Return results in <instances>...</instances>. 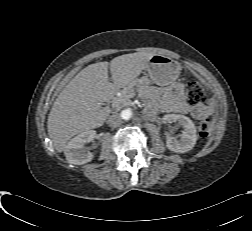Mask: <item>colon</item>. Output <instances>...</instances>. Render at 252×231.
Segmentation results:
<instances>
[{"mask_svg":"<svg viewBox=\"0 0 252 231\" xmlns=\"http://www.w3.org/2000/svg\"><path fill=\"white\" fill-rule=\"evenodd\" d=\"M187 101L191 105H197L205 100V94L201 86L196 83H191L186 89ZM198 130L202 136H206L211 130V121L208 118L201 119L198 122Z\"/></svg>","mask_w":252,"mask_h":231,"instance_id":"colon-1","label":"colon"}]
</instances>
